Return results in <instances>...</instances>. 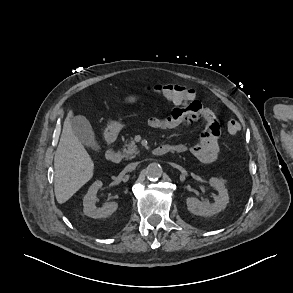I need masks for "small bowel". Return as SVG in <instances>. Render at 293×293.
Here are the masks:
<instances>
[{
    "mask_svg": "<svg viewBox=\"0 0 293 293\" xmlns=\"http://www.w3.org/2000/svg\"><path fill=\"white\" fill-rule=\"evenodd\" d=\"M187 122L203 124L205 129L199 140L193 145L174 144L173 146L177 148L175 153L189 152L203 163L216 161L220 154V125L214 112L208 108H203L198 101H194L190 107L177 104L168 115L151 117L148 120V124L152 128L160 130L173 129Z\"/></svg>",
    "mask_w": 293,
    "mask_h": 293,
    "instance_id": "c3829d8e",
    "label": "small bowel"
}]
</instances>
